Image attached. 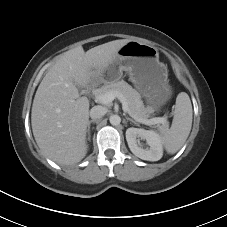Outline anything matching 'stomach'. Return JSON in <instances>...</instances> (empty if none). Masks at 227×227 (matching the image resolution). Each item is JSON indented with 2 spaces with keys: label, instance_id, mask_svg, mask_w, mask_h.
Segmentation results:
<instances>
[{
  "label": "stomach",
  "instance_id": "0dacf381",
  "mask_svg": "<svg viewBox=\"0 0 227 227\" xmlns=\"http://www.w3.org/2000/svg\"><path fill=\"white\" fill-rule=\"evenodd\" d=\"M123 71L154 110L171 97L167 66L159 61L158 49L139 41H129L117 52L116 58L94 78L103 83L119 80Z\"/></svg>",
  "mask_w": 227,
  "mask_h": 227
}]
</instances>
